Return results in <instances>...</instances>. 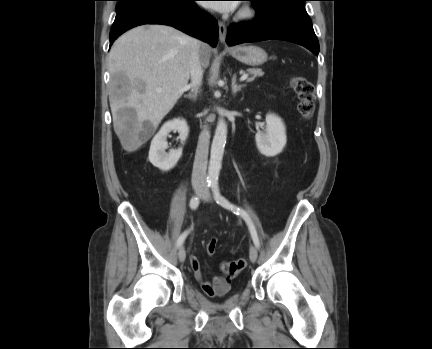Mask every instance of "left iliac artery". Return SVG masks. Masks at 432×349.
Wrapping results in <instances>:
<instances>
[{"mask_svg":"<svg viewBox=\"0 0 432 349\" xmlns=\"http://www.w3.org/2000/svg\"><path fill=\"white\" fill-rule=\"evenodd\" d=\"M211 188H212V191L214 194V198L219 205H221L222 207H224L226 209L233 211L237 215L242 216V218L245 220V222L249 228V231H250V234H251V237H252V240H253L255 246L257 248H259V246H260L259 238H258L256 229H255V226H254L250 216L248 215V213L246 211H244L243 209L230 203L224 196H222L220 194L218 182H216V181L212 182Z\"/></svg>","mask_w":432,"mask_h":349,"instance_id":"44dca946","label":"left iliac artery"}]
</instances>
